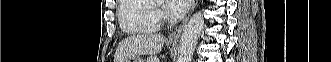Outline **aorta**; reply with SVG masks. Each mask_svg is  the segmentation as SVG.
<instances>
[{
    "mask_svg": "<svg viewBox=\"0 0 331 62\" xmlns=\"http://www.w3.org/2000/svg\"><path fill=\"white\" fill-rule=\"evenodd\" d=\"M203 26L204 18L201 12L195 13L181 36L177 62H191Z\"/></svg>",
    "mask_w": 331,
    "mask_h": 62,
    "instance_id": "762f6f07",
    "label": "aorta"
}]
</instances>
